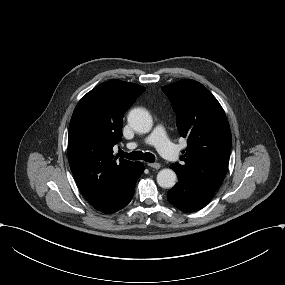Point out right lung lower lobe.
Here are the masks:
<instances>
[{
    "label": "right lung lower lobe",
    "mask_w": 285,
    "mask_h": 285,
    "mask_svg": "<svg viewBox=\"0 0 285 285\" xmlns=\"http://www.w3.org/2000/svg\"><path fill=\"white\" fill-rule=\"evenodd\" d=\"M143 171L144 165L141 162H138L134 171L128 176L127 180L124 182L116 200L101 212L107 214L114 213L125 207L131 201L134 194L136 181L141 176Z\"/></svg>",
    "instance_id": "1"
}]
</instances>
